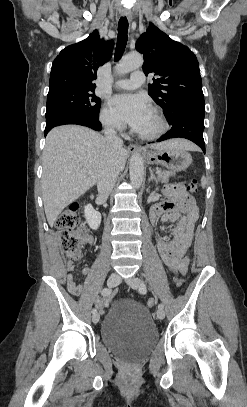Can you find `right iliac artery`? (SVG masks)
<instances>
[{
    "label": "right iliac artery",
    "instance_id": "right-iliac-artery-1",
    "mask_svg": "<svg viewBox=\"0 0 247 407\" xmlns=\"http://www.w3.org/2000/svg\"><path fill=\"white\" fill-rule=\"evenodd\" d=\"M112 288L111 287H109V288H104L103 290H102V295L103 296H109L110 294H112ZM92 313L93 314H95V313H97V309L96 308H94V309H92Z\"/></svg>",
    "mask_w": 247,
    "mask_h": 407
}]
</instances>
